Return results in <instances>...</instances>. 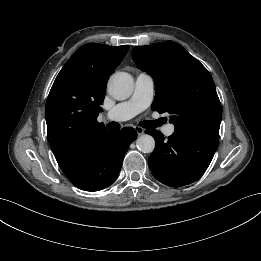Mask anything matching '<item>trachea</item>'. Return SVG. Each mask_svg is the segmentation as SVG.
<instances>
[{
  "mask_svg": "<svg viewBox=\"0 0 261 261\" xmlns=\"http://www.w3.org/2000/svg\"><path fill=\"white\" fill-rule=\"evenodd\" d=\"M161 124L160 120H150V121H143L140 125L144 128H155ZM107 128L110 130H119L120 126L116 122H111L107 125Z\"/></svg>",
  "mask_w": 261,
  "mask_h": 261,
  "instance_id": "obj_1",
  "label": "trachea"
}]
</instances>
